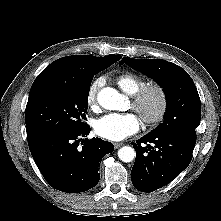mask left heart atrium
Listing matches in <instances>:
<instances>
[{"instance_id":"1","label":"left heart atrium","mask_w":221,"mask_h":221,"mask_svg":"<svg viewBox=\"0 0 221 221\" xmlns=\"http://www.w3.org/2000/svg\"><path fill=\"white\" fill-rule=\"evenodd\" d=\"M140 128V120L134 113H111L98 119L95 132L110 141H120L135 134Z\"/></svg>"}]
</instances>
